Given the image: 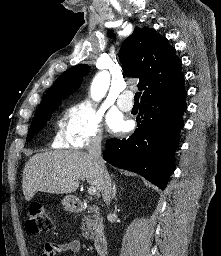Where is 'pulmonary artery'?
Returning <instances> with one entry per match:
<instances>
[{
	"label": "pulmonary artery",
	"mask_w": 221,
	"mask_h": 256,
	"mask_svg": "<svg viewBox=\"0 0 221 256\" xmlns=\"http://www.w3.org/2000/svg\"><path fill=\"white\" fill-rule=\"evenodd\" d=\"M132 98L133 93L131 91L122 92L117 99L118 107L123 111H130L133 107Z\"/></svg>",
	"instance_id": "obj_1"
}]
</instances>
